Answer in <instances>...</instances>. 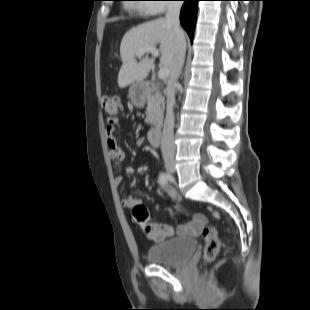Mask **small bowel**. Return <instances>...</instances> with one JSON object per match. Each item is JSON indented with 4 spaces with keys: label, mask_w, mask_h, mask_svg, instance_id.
<instances>
[{
    "label": "small bowel",
    "mask_w": 310,
    "mask_h": 310,
    "mask_svg": "<svg viewBox=\"0 0 310 310\" xmlns=\"http://www.w3.org/2000/svg\"><path fill=\"white\" fill-rule=\"evenodd\" d=\"M107 135L109 155L115 163L117 169L120 170V165L125 160V153L117 144L116 129L114 125H109L107 127ZM135 143L137 146L142 147L145 144V139L139 137L136 139ZM121 181L122 176L120 174L116 175L115 183L119 185ZM156 183L173 201H179L181 199L180 195L168 184L162 183L160 179H157ZM137 203V198L132 194H127L122 199V205L128 209H132L135 205H137ZM206 223L207 218L203 214H196L191 222L188 224L179 225L176 229L169 224L163 223H141L139 225L149 240L159 243L172 236L175 232L179 235L196 234Z\"/></svg>",
    "instance_id": "small-bowel-1"
}]
</instances>
